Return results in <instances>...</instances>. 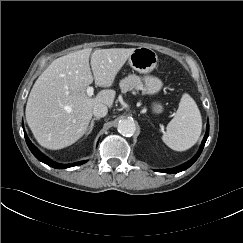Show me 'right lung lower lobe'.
Instances as JSON below:
<instances>
[{
  "label": "right lung lower lobe",
  "instance_id": "right-lung-lower-lobe-1",
  "mask_svg": "<svg viewBox=\"0 0 243 243\" xmlns=\"http://www.w3.org/2000/svg\"><path fill=\"white\" fill-rule=\"evenodd\" d=\"M25 140H26V143L29 147V149L31 150V152L33 153V155L38 159L40 160L41 162L53 167V168H57V169H64V168H68V167H71L72 165L70 164H67V165H62V164H58V163H55L53 162L52 160H50L49 158H47L46 156H44L33 144L32 142L29 140V138L27 137L26 133H25ZM86 161H82V162H79V163H76L74 165H82L84 164Z\"/></svg>",
  "mask_w": 243,
  "mask_h": 243
}]
</instances>
